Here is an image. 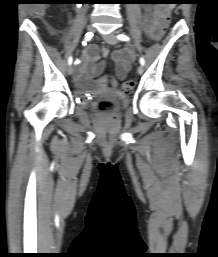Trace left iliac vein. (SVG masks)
Returning a JSON list of instances; mask_svg holds the SVG:
<instances>
[{
    "instance_id": "left-iliac-vein-1",
    "label": "left iliac vein",
    "mask_w": 218,
    "mask_h": 257,
    "mask_svg": "<svg viewBox=\"0 0 218 257\" xmlns=\"http://www.w3.org/2000/svg\"><path fill=\"white\" fill-rule=\"evenodd\" d=\"M103 39L110 45H115L118 40L116 38V36L113 34V33H110V34H106V35H103ZM144 71L143 69V66L142 65H139L138 68H137V72L138 74H142Z\"/></svg>"
}]
</instances>
